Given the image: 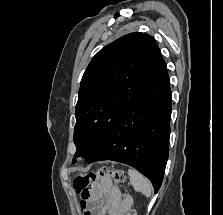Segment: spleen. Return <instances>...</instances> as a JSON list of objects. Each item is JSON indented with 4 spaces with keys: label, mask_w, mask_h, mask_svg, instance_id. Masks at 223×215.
I'll list each match as a JSON object with an SVG mask.
<instances>
[{
    "label": "spleen",
    "mask_w": 223,
    "mask_h": 215,
    "mask_svg": "<svg viewBox=\"0 0 223 215\" xmlns=\"http://www.w3.org/2000/svg\"><path fill=\"white\" fill-rule=\"evenodd\" d=\"M128 173L130 175V183L133 185L135 191H142L144 195H151V183L149 179H146L142 173L136 171V169H128Z\"/></svg>",
    "instance_id": "obj_1"
}]
</instances>
